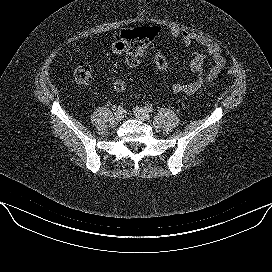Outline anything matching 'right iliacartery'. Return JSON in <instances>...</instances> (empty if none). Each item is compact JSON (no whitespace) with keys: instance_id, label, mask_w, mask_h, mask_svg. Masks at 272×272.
Returning <instances> with one entry per match:
<instances>
[{"instance_id":"right-iliac-artery-1","label":"right iliac artery","mask_w":272,"mask_h":272,"mask_svg":"<svg viewBox=\"0 0 272 272\" xmlns=\"http://www.w3.org/2000/svg\"><path fill=\"white\" fill-rule=\"evenodd\" d=\"M118 110L123 112V107L122 106H118Z\"/></svg>"}]
</instances>
